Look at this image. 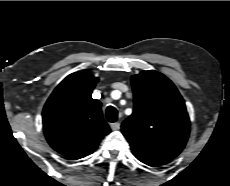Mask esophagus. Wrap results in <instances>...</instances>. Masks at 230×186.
Instances as JSON below:
<instances>
[{"label":"esophagus","mask_w":230,"mask_h":186,"mask_svg":"<svg viewBox=\"0 0 230 186\" xmlns=\"http://www.w3.org/2000/svg\"><path fill=\"white\" fill-rule=\"evenodd\" d=\"M112 130L116 131L120 129V123L119 122H114L110 124Z\"/></svg>","instance_id":"obj_1"}]
</instances>
